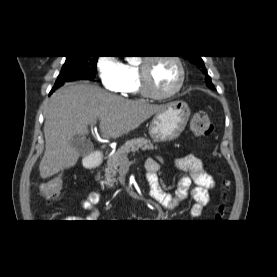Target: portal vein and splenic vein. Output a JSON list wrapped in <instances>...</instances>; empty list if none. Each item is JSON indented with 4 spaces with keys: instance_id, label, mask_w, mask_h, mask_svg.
<instances>
[{
    "instance_id": "1",
    "label": "portal vein and splenic vein",
    "mask_w": 277,
    "mask_h": 277,
    "mask_svg": "<svg viewBox=\"0 0 277 277\" xmlns=\"http://www.w3.org/2000/svg\"><path fill=\"white\" fill-rule=\"evenodd\" d=\"M94 125V123H91V126H93ZM125 162H128V160H126Z\"/></svg>"
}]
</instances>
